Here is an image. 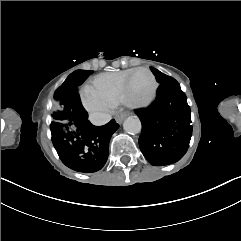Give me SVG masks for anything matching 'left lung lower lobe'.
<instances>
[{"mask_svg": "<svg viewBox=\"0 0 241 241\" xmlns=\"http://www.w3.org/2000/svg\"><path fill=\"white\" fill-rule=\"evenodd\" d=\"M142 123L139 147L154 166L172 164L186 153L191 135L190 107L179 83L160 84L153 104L137 111Z\"/></svg>", "mask_w": 241, "mask_h": 241, "instance_id": "0a47b994", "label": "left lung lower lobe"}]
</instances>
